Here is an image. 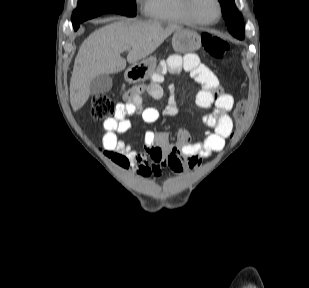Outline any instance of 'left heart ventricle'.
I'll use <instances>...</instances> for the list:
<instances>
[{
  "mask_svg": "<svg viewBox=\"0 0 309 288\" xmlns=\"http://www.w3.org/2000/svg\"><path fill=\"white\" fill-rule=\"evenodd\" d=\"M194 11L203 21H214L218 17V7L215 0H194Z\"/></svg>",
  "mask_w": 309,
  "mask_h": 288,
  "instance_id": "obj_1",
  "label": "left heart ventricle"
}]
</instances>
